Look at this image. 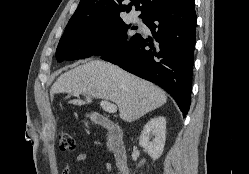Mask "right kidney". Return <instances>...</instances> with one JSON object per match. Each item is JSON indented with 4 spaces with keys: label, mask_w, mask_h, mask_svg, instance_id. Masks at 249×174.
<instances>
[{
    "label": "right kidney",
    "mask_w": 249,
    "mask_h": 174,
    "mask_svg": "<svg viewBox=\"0 0 249 174\" xmlns=\"http://www.w3.org/2000/svg\"><path fill=\"white\" fill-rule=\"evenodd\" d=\"M155 136L150 141L151 136ZM166 139V118L163 116L152 118L144 126L139 138V145L147 151L153 161L163 153Z\"/></svg>",
    "instance_id": "obj_1"
}]
</instances>
